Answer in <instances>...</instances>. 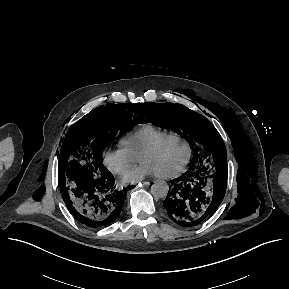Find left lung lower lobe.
Segmentation results:
<instances>
[{
  "label": "left lung lower lobe",
  "instance_id": "1",
  "mask_svg": "<svg viewBox=\"0 0 289 289\" xmlns=\"http://www.w3.org/2000/svg\"><path fill=\"white\" fill-rule=\"evenodd\" d=\"M226 186L227 162L218 164L215 169L189 168L171 181L164 201L165 211L181 226L196 225L215 213L225 196Z\"/></svg>",
  "mask_w": 289,
  "mask_h": 289
}]
</instances>
